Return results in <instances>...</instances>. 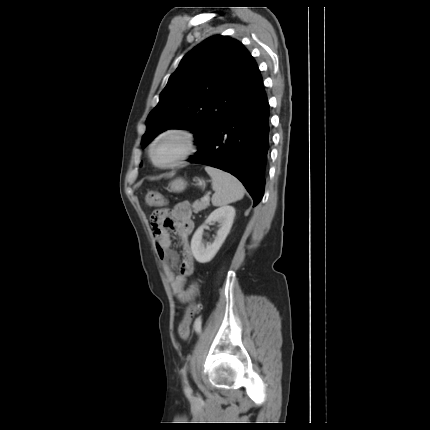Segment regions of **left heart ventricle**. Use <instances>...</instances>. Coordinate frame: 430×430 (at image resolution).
<instances>
[{"label": "left heart ventricle", "mask_w": 430, "mask_h": 430, "mask_svg": "<svg viewBox=\"0 0 430 430\" xmlns=\"http://www.w3.org/2000/svg\"><path fill=\"white\" fill-rule=\"evenodd\" d=\"M184 148L183 139L179 136L172 135L164 138L155 150V156L158 162L167 163L182 152Z\"/></svg>", "instance_id": "obj_1"}]
</instances>
